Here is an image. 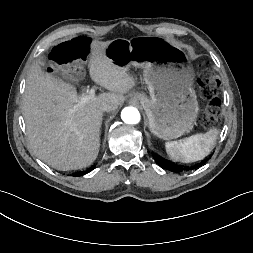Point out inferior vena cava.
Listing matches in <instances>:
<instances>
[{"label": "inferior vena cava", "instance_id": "inferior-vena-cava-1", "mask_svg": "<svg viewBox=\"0 0 253 253\" xmlns=\"http://www.w3.org/2000/svg\"><path fill=\"white\" fill-rule=\"evenodd\" d=\"M114 109H115L114 106L107 102H104L101 105V110L104 112L114 111Z\"/></svg>", "mask_w": 253, "mask_h": 253}]
</instances>
